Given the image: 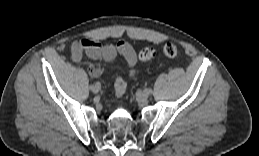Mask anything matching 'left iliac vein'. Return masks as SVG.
<instances>
[{"instance_id": "obj_1", "label": "left iliac vein", "mask_w": 259, "mask_h": 156, "mask_svg": "<svg viewBox=\"0 0 259 156\" xmlns=\"http://www.w3.org/2000/svg\"><path fill=\"white\" fill-rule=\"evenodd\" d=\"M152 93H147V89H144L143 92H142V96L144 98H148Z\"/></svg>"}]
</instances>
